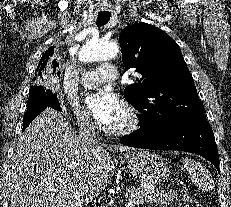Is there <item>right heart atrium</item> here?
<instances>
[{
	"label": "right heart atrium",
	"mask_w": 231,
	"mask_h": 207,
	"mask_svg": "<svg viewBox=\"0 0 231 207\" xmlns=\"http://www.w3.org/2000/svg\"><path fill=\"white\" fill-rule=\"evenodd\" d=\"M66 104L71 108L79 127L85 130H92L95 128V124L86 111L78 106L72 100H68Z\"/></svg>",
	"instance_id": "d8ad5b80"
}]
</instances>
